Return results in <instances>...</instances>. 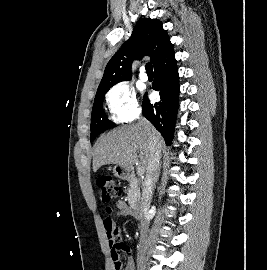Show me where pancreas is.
Instances as JSON below:
<instances>
[{
  "mask_svg": "<svg viewBox=\"0 0 267 270\" xmlns=\"http://www.w3.org/2000/svg\"><path fill=\"white\" fill-rule=\"evenodd\" d=\"M127 199L130 205H136L140 199L139 181L133 179L130 181V187L127 192Z\"/></svg>",
  "mask_w": 267,
  "mask_h": 270,
  "instance_id": "1",
  "label": "pancreas"
}]
</instances>
